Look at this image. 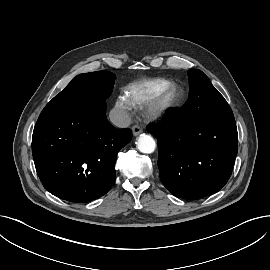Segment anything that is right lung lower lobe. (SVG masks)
<instances>
[{
	"label": "right lung lower lobe",
	"instance_id": "right-lung-lower-lobe-1",
	"mask_svg": "<svg viewBox=\"0 0 270 270\" xmlns=\"http://www.w3.org/2000/svg\"><path fill=\"white\" fill-rule=\"evenodd\" d=\"M105 102L40 114L32 136L36 171L44 188L71 202H90L115 181L117 153L131 138L105 116Z\"/></svg>",
	"mask_w": 270,
	"mask_h": 270
}]
</instances>
